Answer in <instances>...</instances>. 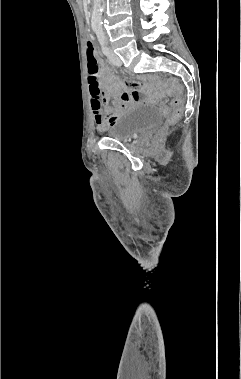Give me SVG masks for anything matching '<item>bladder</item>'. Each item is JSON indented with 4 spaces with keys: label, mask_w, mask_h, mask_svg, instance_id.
<instances>
[{
    "label": "bladder",
    "mask_w": 241,
    "mask_h": 379,
    "mask_svg": "<svg viewBox=\"0 0 241 379\" xmlns=\"http://www.w3.org/2000/svg\"><path fill=\"white\" fill-rule=\"evenodd\" d=\"M161 121L160 111L151 105L140 104L118 117L108 128L111 139L127 142L155 128Z\"/></svg>",
    "instance_id": "1"
}]
</instances>
